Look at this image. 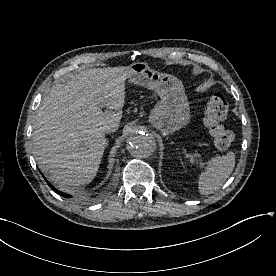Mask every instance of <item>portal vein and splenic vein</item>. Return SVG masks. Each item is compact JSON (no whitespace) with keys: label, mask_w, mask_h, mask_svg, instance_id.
Masks as SVG:
<instances>
[{"label":"portal vein and splenic vein","mask_w":276,"mask_h":276,"mask_svg":"<svg viewBox=\"0 0 276 276\" xmlns=\"http://www.w3.org/2000/svg\"><path fill=\"white\" fill-rule=\"evenodd\" d=\"M189 157L191 158V160L194 159V157H193L192 155H190ZM200 164H201V165H204V163H202L201 161H200Z\"/></svg>","instance_id":"obj_1"}]
</instances>
